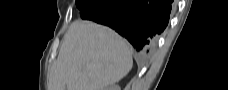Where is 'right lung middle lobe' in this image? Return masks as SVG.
<instances>
[{
    "label": "right lung middle lobe",
    "mask_w": 228,
    "mask_h": 90,
    "mask_svg": "<svg viewBox=\"0 0 228 90\" xmlns=\"http://www.w3.org/2000/svg\"><path fill=\"white\" fill-rule=\"evenodd\" d=\"M104 0H76V6L80 10V15L94 11L103 4Z\"/></svg>",
    "instance_id": "1"
}]
</instances>
